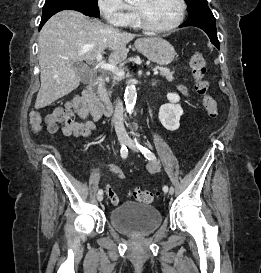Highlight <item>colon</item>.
<instances>
[{"label": "colon", "instance_id": "colon-1", "mask_svg": "<svg viewBox=\"0 0 261 273\" xmlns=\"http://www.w3.org/2000/svg\"><path fill=\"white\" fill-rule=\"evenodd\" d=\"M190 67L195 82V91L202 98L203 105L211 118L218 116L216 100L208 93L209 83L205 79L206 59L201 50H194L190 57ZM30 121L35 131H40L42 119L38 112H32ZM158 193L150 190L135 189L134 196L137 201L149 204L157 198Z\"/></svg>", "mask_w": 261, "mask_h": 273}]
</instances>
